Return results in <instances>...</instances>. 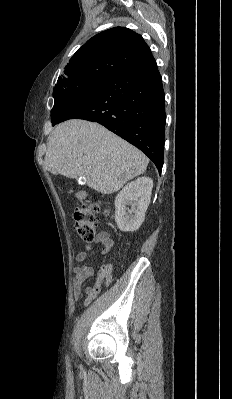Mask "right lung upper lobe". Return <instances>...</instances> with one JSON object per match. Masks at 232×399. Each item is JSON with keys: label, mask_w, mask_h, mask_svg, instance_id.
I'll list each match as a JSON object with an SVG mask.
<instances>
[{"label": "right lung upper lobe", "mask_w": 232, "mask_h": 399, "mask_svg": "<svg viewBox=\"0 0 232 399\" xmlns=\"http://www.w3.org/2000/svg\"><path fill=\"white\" fill-rule=\"evenodd\" d=\"M152 56L142 36L134 31L115 27L89 39L70 59L59 77L53 95L66 85L85 77L109 78Z\"/></svg>", "instance_id": "1"}]
</instances>
